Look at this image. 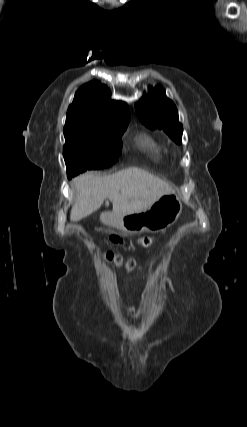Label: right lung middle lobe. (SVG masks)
<instances>
[{"label": "right lung middle lobe", "mask_w": 247, "mask_h": 427, "mask_svg": "<svg viewBox=\"0 0 247 427\" xmlns=\"http://www.w3.org/2000/svg\"><path fill=\"white\" fill-rule=\"evenodd\" d=\"M126 128H106L66 119L63 156L68 178L87 169L106 168L116 163L122 151L121 136Z\"/></svg>", "instance_id": "obj_1"}]
</instances>
